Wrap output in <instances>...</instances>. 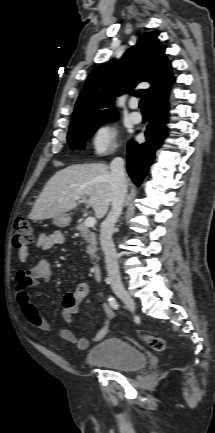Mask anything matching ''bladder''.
I'll use <instances>...</instances> for the list:
<instances>
[{"label":"bladder","instance_id":"obj_1","mask_svg":"<svg viewBox=\"0 0 215 433\" xmlns=\"http://www.w3.org/2000/svg\"><path fill=\"white\" fill-rule=\"evenodd\" d=\"M86 362L89 365L107 366L119 372H132L146 365V356L127 341L108 337L89 350Z\"/></svg>","mask_w":215,"mask_h":433}]
</instances>
